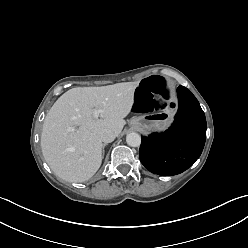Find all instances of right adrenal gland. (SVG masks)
Wrapping results in <instances>:
<instances>
[{
    "label": "right adrenal gland",
    "mask_w": 248,
    "mask_h": 248,
    "mask_svg": "<svg viewBox=\"0 0 248 248\" xmlns=\"http://www.w3.org/2000/svg\"><path fill=\"white\" fill-rule=\"evenodd\" d=\"M106 145H107V143H105V144L102 145V154L103 155H104V148H105Z\"/></svg>",
    "instance_id": "right-adrenal-gland-1"
}]
</instances>
